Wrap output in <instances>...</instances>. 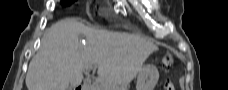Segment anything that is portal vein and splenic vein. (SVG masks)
<instances>
[{"mask_svg":"<svg viewBox=\"0 0 228 90\" xmlns=\"http://www.w3.org/2000/svg\"><path fill=\"white\" fill-rule=\"evenodd\" d=\"M86 69H92V67H87Z\"/></svg>","mask_w":228,"mask_h":90,"instance_id":"1","label":"portal vein and splenic vein"}]
</instances>
